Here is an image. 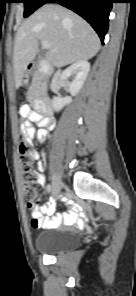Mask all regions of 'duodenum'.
<instances>
[{
    "label": "duodenum",
    "instance_id": "410a0bca",
    "mask_svg": "<svg viewBox=\"0 0 136 296\" xmlns=\"http://www.w3.org/2000/svg\"><path fill=\"white\" fill-rule=\"evenodd\" d=\"M33 65H30V68H32ZM37 68L39 72L42 74V76H47L49 74L48 65L46 62V59L40 58L37 61ZM40 111L43 113L42 118L37 122L39 126H44L51 128L54 125L53 119H52V108L51 106L45 102L41 101L38 105Z\"/></svg>",
    "mask_w": 136,
    "mask_h": 296
}]
</instances>
